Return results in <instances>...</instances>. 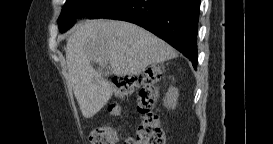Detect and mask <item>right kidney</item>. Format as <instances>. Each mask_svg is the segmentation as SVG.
<instances>
[{
	"instance_id": "obj_1",
	"label": "right kidney",
	"mask_w": 273,
	"mask_h": 144,
	"mask_svg": "<svg viewBox=\"0 0 273 144\" xmlns=\"http://www.w3.org/2000/svg\"><path fill=\"white\" fill-rule=\"evenodd\" d=\"M178 90L175 88H171L166 97L164 98V106L167 107L168 109H175L177 100H178Z\"/></svg>"
}]
</instances>
